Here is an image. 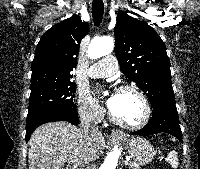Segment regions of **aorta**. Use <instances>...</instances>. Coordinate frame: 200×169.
I'll list each match as a JSON object with an SVG mask.
<instances>
[{"label": "aorta", "instance_id": "aorta-1", "mask_svg": "<svg viewBox=\"0 0 200 169\" xmlns=\"http://www.w3.org/2000/svg\"><path fill=\"white\" fill-rule=\"evenodd\" d=\"M114 40L111 36L95 37L88 48V57L97 59L112 52ZM119 152L111 151L107 154L100 169H116L119 160Z\"/></svg>", "mask_w": 200, "mask_h": 169}]
</instances>
